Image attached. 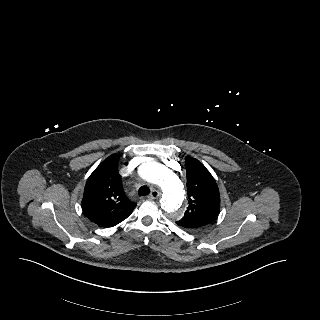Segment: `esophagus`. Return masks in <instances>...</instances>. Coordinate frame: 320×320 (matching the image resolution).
<instances>
[{"label": "esophagus", "mask_w": 320, "mask_h": 320, "mask_svg": "<svg viewBox=\"0 0 320 320\" xmlns=\"http://www.w3.org/2000/svg\"><path fill=\"white\" fill-rule=\"evenodd\" d=\"M160 193L159 191L153 189L151 192H150V195L148 196L150 199H157L159 197Z\"/></svg>", "instance_id": "obj_1"}]
</instances>
